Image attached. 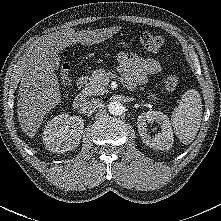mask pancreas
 <instances>
[{
    "label": "pancreas",
    "instance_id": "1",
    "mask_svg": "<svg viewBox=\"0 0 221 221\" xmlns=\"http://www.w3.org/2000/svg\"><path fill=\"white\" fill-rule=\"evenodd\" d=\"M110 73L103 69L95 70L90 76L89 82L85 85L82 93L86 96L103 95L107 92ZM151 100H157L155 94L148 96Z\"/></svg>",
    "mask_w": 221,
    "mask_h": 221
}]
</instances>
